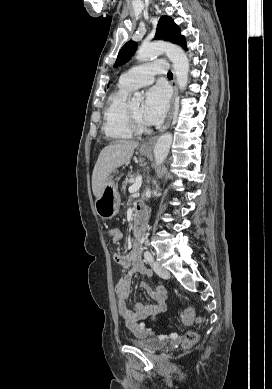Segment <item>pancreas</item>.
Wrapping results in <instances>:
<instances>
[{"mask_svg": "<svg viewBox=\"0 0 272 389\" xmlns=\"http://www.w3.org/2000/svg\"><path fill=\"white\" fill-rule=\"evenodd\" d=\"M135 182V176L133 175H128L125 180L122 182V189L125 190L126 186L128 183H133Z\"/></svg>", "mask_w": 272, "mask_h": 389, "instance_id": "cf45deb5", "label": "pancreas"}]
</instances>
